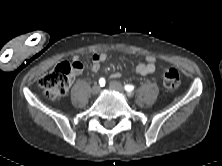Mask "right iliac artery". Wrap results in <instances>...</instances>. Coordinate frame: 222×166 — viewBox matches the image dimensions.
I'll return each mask as SVG.
<instances>
[{
    "mask_svg": "<svg viewBox=\"0 0 222 166\" xmlns=\"http://www.w3.org/2000/svg\"><path fill=\"white\" fill-rule=\"evenodd\" d=\"M99 84L101 87L105 86V79L104 78H100L99 79Z\"/></svg>",
    "mask_w": 222,
    "mask_h": 166,
    "instance_id": "82829eb1",
    "label": "right iliac artery"
}]
</instances>
